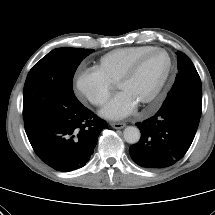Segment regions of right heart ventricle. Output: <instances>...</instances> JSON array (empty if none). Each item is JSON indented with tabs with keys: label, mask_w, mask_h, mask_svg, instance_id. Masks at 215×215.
Listing matches in <instances>:
<instances>
[{
	"label": "right heart ventricle",
	"mask_w": 215,
	"mask_h": 215,
	"mask_svg": "<svg viewBox=\"0 0 215 215\" xmlns=\"http://www.w3.org/2000/svg\"><path fill=\"white\" fill-rule=\"evenodd\" d=\"M153 48L152 46H132L114 49L101 56L94 68L111 84H116L137 57Z\"/></svg>",
	"instance_id": "1"
}]
</instances>
